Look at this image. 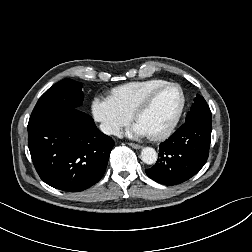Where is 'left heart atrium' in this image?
Segmentation results:
<instances>
[{
    "label": "left heart atrium",
    "mask_w": 252,
    "mask_h": 252,
    "mask_svg": "<svg viewBox=\"0 0 252 252\" xmlns=\"http://www.w3.org/2000/svg\"><path fill=\"white\" fill-rule=\"evenodd\" d=\"M126 135L132 138L151 136L149 130L139 121L132 124L127 130Z\"/></svg>",
    "instance_id": "obj_1"
}]
</instances>
